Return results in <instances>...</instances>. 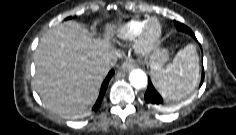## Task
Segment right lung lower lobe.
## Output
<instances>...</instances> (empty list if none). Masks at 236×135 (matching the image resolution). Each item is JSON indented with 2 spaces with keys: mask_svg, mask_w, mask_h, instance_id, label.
Instances as JSON below:
<instances>
[{
  "mask_svg": "<svg viewBox=\"0 0 236 135\" xmlns=\"http://www.w3.org/2000/svg\"><path fill=\"white\" fill-rule=\"evenodd\" d=\"M113 74H114V71L111 70V71L108 73L106 79L104 80V82H103V84H102V86H101V90H100L99 97H98V99H97V101H96V103H95V105H94V107H93V110H94V111H96V110L100 107L101 102H102L103 97H104V94H105V91H106V89H107L108 83H109V81H110V79H111V77H112Z\"/></svg>",
  "mask_w": 236,
  "mask_h": 135,
  "instance_id": "obj_1",
  "label": "right lung lower lobe"
}]
</instances>
